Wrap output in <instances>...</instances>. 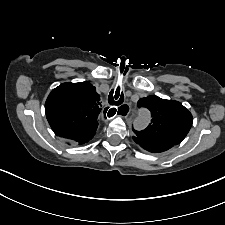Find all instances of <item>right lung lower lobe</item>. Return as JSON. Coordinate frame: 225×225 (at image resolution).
Wrapping results in <instances>:
<instances>
[{
  "mask_svg": "<svg viewBox=\"0 0 225 225\" xmlns=\"http://www.w3.org/2000/svg\"><path fill=\"white\" fill-rule=\"evenodd\" d=\"M90 140V139H89ZM88 140V141H89ZM68 142H72V143H78L79 145L81 144H84L85 142H88V141H72V140H67Z\"/></svg>",
  "mask_w": 225,
  "mask_h": 225,
  "instance_id": "right-lung-lower-lobe-1",
  "label": "right lung lower lobe"
}]
</instances>
